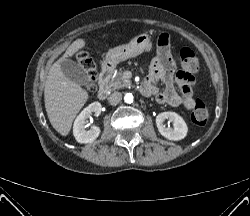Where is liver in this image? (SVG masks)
Listing matches in <instances>:
<instances>
[{
  "label": "liver",
  "mask_w": 250,
  "mask_h": 216,
  "mask_svg": "<svg viewBox=\"0 0 250 216\" xmlns=\"http://www.w3.org/2000/svg\"><path fill=\"white\" fill-rule=\"evenodd\" d=\"M83 39L75 40L49 69L44 89L45 108L53 128L66 136L78 112L88 100V92L71 81L62 71L61 63L85 47Z\"/></svg>",
  "instance_id": "1"
}]
</instances>
